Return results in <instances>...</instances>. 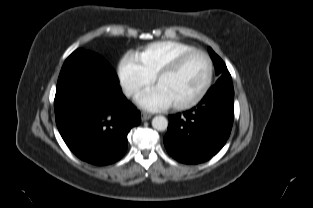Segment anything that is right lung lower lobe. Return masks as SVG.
<instances>
[{
  "mask_svg": "<svg viewBox=\"0 0 313 208\" xmlns=\"http://www.w3.org/2000/svg\"><path fill=\"white\" fill-rule=\"evenodd\" d=\"M54 108L67 146L81 160L96 165L119 160L127 150L128 132L141 122L109 63L81 49L64 62Z\"/></svg>",
  "mask_w": 313,
  "mask_h": 208,
  "instance_id": "right-lung-lower-lobe-1",
  "label": "right lung lower lobe"
}]
</instances>
